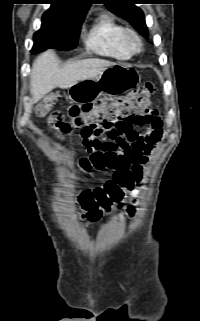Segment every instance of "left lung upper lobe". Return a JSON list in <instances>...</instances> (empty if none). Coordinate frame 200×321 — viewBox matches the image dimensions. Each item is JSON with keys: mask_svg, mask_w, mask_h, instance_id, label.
<instances>
[{"mask_svg": "<svg viewBox=\"0 0 200 321\" xmlns=\"http://www.w3.org/2000/svg\"><path fill=\"white\" fill-rule=\"evenodd\" d=\"M114 14L127 20L144 37H147V26L143 11L136 7L135 0H100Z\"/></svg>", "mask_w": 200, "mask_h": 321, "instance_id": "1", "label": "left lung upper lobe"}]
</instances>
